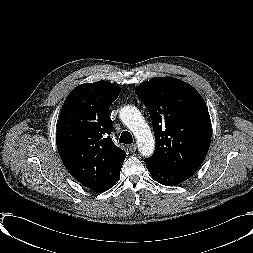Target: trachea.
Instances as JSON below:
<instances>
[{
  "instance_id": "trachea-1",
  "label": "trachea",
  "mask_w": 253,
  "mask_h": 253,
  "mask_svg": "<svg viewBox=\"0 0 253 253\" xmlns=\"http://www.w3.org/2000/svg\"><path fill=\"white\" fill-rule=\"evenodd\" d=\"M119 142L124 144H131L133 142L131 133L128 131H123L120 136Z\"/></svg>"
}]
</instances>
